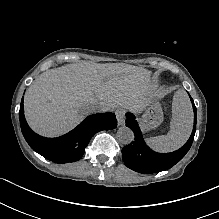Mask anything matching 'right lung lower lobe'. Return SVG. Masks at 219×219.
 I'll return each instance as SVG.
<instances>
[{
	"label": "right lung lower lobe",
	"instance_id": "98d812e1",
	"mask_svg": "<svg viewBox=\"0 0 219 219\" xmlns=\"http://www.w3.org/2000/svg\"><path fill=\"white\" fill-rule=\"evenodd\" d=\"M19 120L21 131L30 147L55 163L78 161L95 133L101 130H111L117 126L115 114L112 112L98 113L88 116L75 129L57 138H45L37 135L28 126L21 100Z\"/></svg>",
	"mask_w": 219,
	"mask_h": 219
}]
</instances>
